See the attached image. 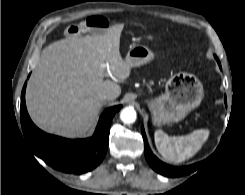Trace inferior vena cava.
<instances>
[{"label": "inferior vena cava", "instance_id": "602c4592", "mask_svg": "<svg viewBox=\"0 0 245 195\" xmlns=\"http://www.w3.org/2000/svg\"><path fill=\"white\" fill-rule=\"evenodd\" d=\"M100 99L101 100H111L112 96L109 93H105V94L101 95Z\"/></svg>", "mask_w": 245, "mask_h": 195}]
</instances>
